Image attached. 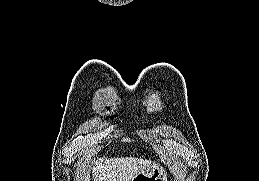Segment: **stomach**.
Instances as JSON below:
<instances>
[{
  "instance_id": "1",
  "label": "stomach",
  "mask_w": 259,
  "mask_h": 181,
  "mask_svg": "<svg viewBox=\"0 0 259 181\" xmlns=\"http://www.w3.org/2000/svg\"><path fill=\"white\" fill-rule=\"evenodd\" d=\"M131 181H167L166 175L162 168L159 166H153L143 172H140L134 176Z\"/></svg>"
}]
</instances>
